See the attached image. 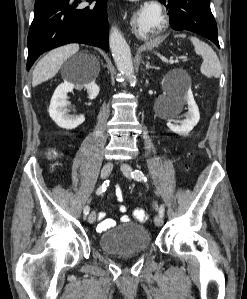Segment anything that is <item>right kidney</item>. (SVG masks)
<instances>
[{
  "mask_svg": "<svg viewBox=\"0 0 247 299\" xmlns=\"http://www.w3.org/2000/svg\"><path fill=\"white\" fill-rule=\"evenodd\" d=\"M85 88L88 93L90 100H93L99 94V86L95 83V80L83 84H74L70 82L61 83L55 90L50 106H49V115L52 120L61 128L71 130L85 121L83 115L75 116L68 114V102H67V93L72 92L73 89H82Z\"/></svg>",
  "mask_w": 247,
  "mask_h": 299,
  "instance_id": "ca27d5eb",
  "label": "right kidney"
}]
</instances>
